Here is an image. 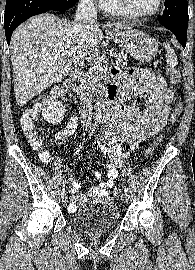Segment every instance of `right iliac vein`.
Wrapping results in <instances>:
<instances>
[{"instance_id":"right-iliac-vein-1","label":"right iliac vein","mask_w":195,"mask_h":270,"mask_svg":"<svg viewBox=\"0 0 195 270\" xmlns=\"http://www.w3.org/2000/svg\"><path fill=\"white\" fill-rule=\"evenodd\" d=\"M67 198V194H66V191L65 190H62L61 192V199H62V202H64Z\"/></svg>"}]
</instances>
